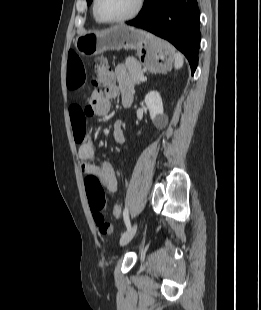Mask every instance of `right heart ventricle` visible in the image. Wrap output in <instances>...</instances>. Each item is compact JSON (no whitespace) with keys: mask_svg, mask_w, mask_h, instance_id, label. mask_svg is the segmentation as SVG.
<instances>
[{"mask_svg":"<svg viewBox=\"0 0 261 310\" xmlns=\"http://www.w3.org/2000/svg\"><path fill=\"white\" fill-rule=\"evenodd\" d=\"M94 18H95V20H96L97 22H100V21L95 17V15H94Z\"/></svg>","mask_w":261,"mask_h":310,"instance_id":"1","label":"right heart ventricle"}]
</instances>
